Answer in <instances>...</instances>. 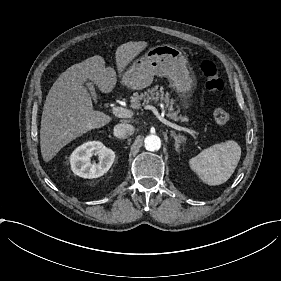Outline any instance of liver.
Listing matches in <instances>:
<instances>
[{
	"mask_svg": "<svg viewBox=\"0 0 281 281\" xmlns=\"http://www.w3.org/2000/svg\"><path fill=\"white\" fill-rule=\"evenodd\" d=\"M146 47L145 41L120 45L115 53L118 73L121 75ZM87 79L102 93L112 92L117 82L116 71L106 67L99 55L72 65L58 77L48 92L41 118L40 148L45 162L77 137L112 120L105 113L93 110L91 96L83 85Z\"/></svg>",
	"mask_w": 281,
	"mask_h": 281,
	"instance_id": "obj_1",
	"label": "liver"
}]
</instances>
